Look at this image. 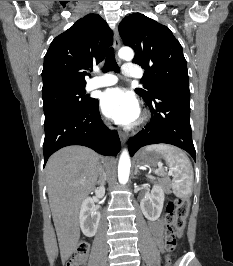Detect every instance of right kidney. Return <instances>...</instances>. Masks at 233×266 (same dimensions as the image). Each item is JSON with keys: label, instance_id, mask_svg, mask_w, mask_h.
Instances as JSON below:
<instances>
[{"label": "right kidney", "instance_id": "right-kidney-1", "mask_svg": "<svg viewBox=\"0 0 233 266\" xmlns=\"http://www.w3.org/2000/svg\"><path fill=\"white\" fill-rule=\"evenodd\" d=\"M105 192L104 187L95 189V193L98 197H103ZM100 212L94 209V202L91 198H86L81 205L79 222L83 234L87 237H92L96 234L99 221Z\"/></svg>", "mask_w": 233, "mask_h": 266}]
</instances>
